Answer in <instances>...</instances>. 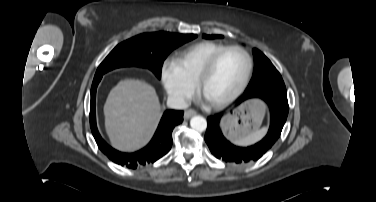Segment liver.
<instances>
[{
  "instance_id": "1",
  "label": "liver",
  "mask_w": 376,
  "mask_h": 202,
  "mask_svg": "<svg viewBox=\"0 0 376 202\" xmlns=\"http://www.w3.org/2000/svg\"><path fill=\"white\" fill-rule=\"evenodd\" d=\"M160 111L153 86L140 80L120 81L104 106L105 127L112 146L126 152L143 147L157 128Z\"/></svg>"
}]
</instances>
